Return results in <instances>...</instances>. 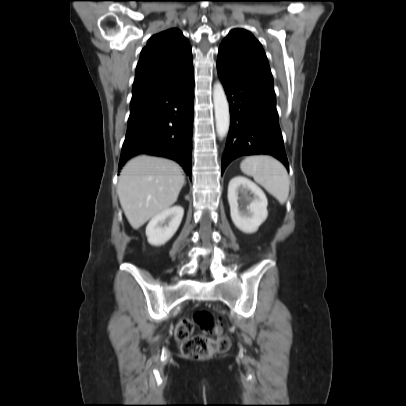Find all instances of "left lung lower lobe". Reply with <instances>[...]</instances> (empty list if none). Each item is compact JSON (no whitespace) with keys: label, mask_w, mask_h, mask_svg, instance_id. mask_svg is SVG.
I'll list each match as a JSON object with an SVG mask.
<instances>
[{"label":"left lung lower lobe","mask_w":406,"mask_h":406,"mask_svg":"<svg viewBox=\"0 0 406 406\" xmlns=\"http://www.w3.org/2000/svg\"><path fill=\"white\" fill-rule=\"evenodd\" d=\"M217 71L230 103L232 121L222 173L237 157L255 154L273 155L289 170L273 81L223 57L217 58Z\"/></svg>","instance_id":"obj_1"}]
</instances>
